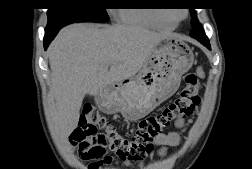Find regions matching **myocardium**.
I'll list each match as a JSON object with an SVG mask.
<instances>
[{"label": "myocardium", "mask_w": 252, "mask_h": 169, "mask_svg": "<svg viewBox=\"0 0 252 169\" xmlns=\"http://www.w3.org/2000/svg\"><path fill=\"white\" fill-rule=\"evenodd\" d=\"M187 16H188V10L185 9V10L183 11V16H181V17H178V16H166V17H168L169 19H171L172 21H174L175 23H177L178 21L183 20V19L186 18Z\"/></svg>", "instance_id": "obj_1"}]
</instances>
